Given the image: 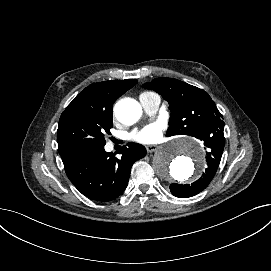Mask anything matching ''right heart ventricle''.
<instances>
[{
    "instance_id": "obj_1",
    "label": "right heart ventricle",
    "mask_w": 271,
    "mask_h": 271,
    "mask_svg": "<svg viewBox=\"0 0 271 271\" xmlns=\"http://www.w3.org/2000/svg\"><path fill=\"white\" fill-rule=\"evenodd\" d=\"M142 94H152V92H143Z\"/></svg>"
}]
</instances>
